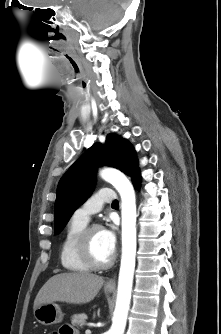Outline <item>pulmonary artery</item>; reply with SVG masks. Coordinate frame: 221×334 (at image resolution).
Listing matches in <instances>:
<instances>
[{
  "label": "pulmonary artery",
  "instance_id": "pulmonary-artery-1",
  "mask_svg": "<svg viewBox=\"0 0 221 334\" xmlns=\"http://www.w3.org/2000/svg\"><path fill=\"white\" fill-rule=\"evenodd\" d=\"M114 199L115 193L112 189L102 188L76 209L73 216L88 223L93 214L99 212L105 203L111 202Z\"/></svg>",
  "mask_w": 221,
  "mask_h": 334
}]
</instances>
